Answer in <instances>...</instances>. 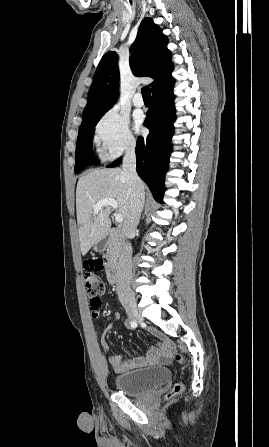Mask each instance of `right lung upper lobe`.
<instances>
[{
  "label": "right lung upper lobe",
  "mask_w": 269,
  "mask_h": 447,
  "mask_svg": "<svg viewBox=\"0 0 269 447\" xmlns=\"http://www.w3.org/2000/svg\"><path fill=\"white\" fill-rule=\"evenodd\" d=\"M167 37L146 18L140 24L136 40L131 45L129 62L135 76L152 77L151 88L164 76L171 73L173 63L171 52L167 49ZM117 54L106 53L98 67L91 85L88 102L83 113L81 127L100 119L113 107L119 96V69Z\"/></svg>",
  "instance_id": "1"
}]
</instances>
